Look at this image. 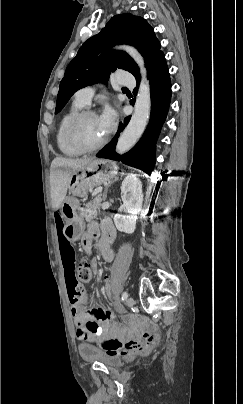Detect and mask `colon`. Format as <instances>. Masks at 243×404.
I'll use <instances>...</instances> for the list:
<instances>
[{"mask_svg":"<svg viewBox=\"0 0 243 404\" xmlns=\"http://www.w3.org/2000/svg\"><path fill=\"white\" fill-rule=\"evenodd\" d=\"M78 280L82 283H89L94 278V269L90 262L82 260L78 266ZM105 294L108 297L112 296V288L109 284L105 287ZM83 298V294L79 291L72 293L71 299L74 302H79ZM101 346L109 352L121 351L124 354H142L148 353L157 343V337L150 331H145L139 338L132 339L125 344L116 338H107L102 340Z\"/></svg>","mask_w":243,"mask_h":404,"instance_id":"colon-1","label":"colon"}]
</instances>
